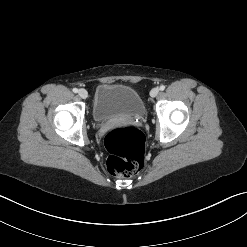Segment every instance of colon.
I'll return each mask as SVG.
<instances>
[{
	"mask_svg": "<svg viewBox=\"0 0 247 247\" xmlns=\"http://www.w3.org/2000/svg\"><path fill=\"white\" fill-rule=\"evenodd\" d=\"M143 133L131 126L116 127L107 132L104 145L108 153L107 170L116 177L136 174L144 164Z\"/></svg>",
	"mask_w": 247,
	"mask_h": 247,
	"instance_id": "1",
	"label": "colon"
}]
</instances>
